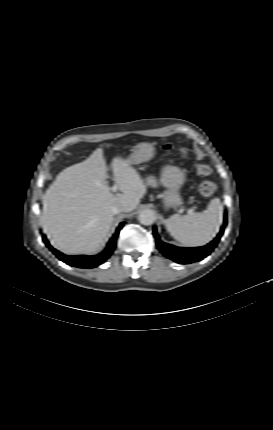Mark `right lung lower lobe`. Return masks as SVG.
I'll return each instance as SVG.
<instances>
[{
	"label": "right lung lower lobe",
	"instance_id": "1",
	"mask_svg": "<svg viewBox=\"0 0 273 430\" xmlns=\"http://www.w3.org/2000/svg\"><path fill=\"white\" fill-rule=\"evenodd\" d=\"M124 223H121L119 227L117 228L115 234L110 239V241L107 244L106 249L95 256H67L62 254L61 252L57 251L53 247L50 246L49 242L47 241L46 237L43 236V241L45 245L63 262H65L68 265L79 267V268H94L103 263L106 259L110 257V255L113 253L115 247H116V240L118 237V234L123 227Z\"/></svg>",
	"mask_w": 273,
	"mask_h": 430
}]
</instances>
